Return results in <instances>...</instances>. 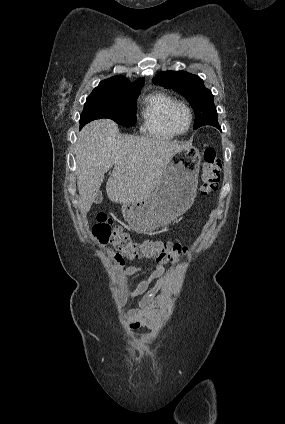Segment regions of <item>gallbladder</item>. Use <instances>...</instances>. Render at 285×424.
I'll return each instance as SVG.
<instances>
[{
	"mask_svg": "<svg viewBox=\"0 0 285 424\" xmlns=\"http://www.w3.org/2000/svg\"><path fill=\"white\" fill-rule=\"evenodd\" d=\"M102 192L100 190H97L95 193L94 203L99 204L102 202Z\"/></svg>",
	"mask_w": 285,
	"mask_h": 424,
	"instance_id": "bac80fb5",
	"label": "gallbladder"
}]
</instances>
